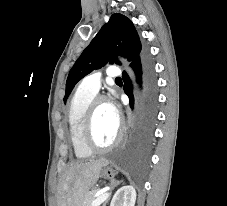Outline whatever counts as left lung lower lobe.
Masks as SVG:
<instances>
[{"label":"left lung lower lobe","instance_id":"left-lung-lower-lobe-1","mask_svg":"<svg viewBox=\"0 0 227 206\" xmlns=\"http://www.w3.org/2000/svg\"><path fill=\"white\" fill-rule=\"evenodd\" d=\"M139 84L138 121L133 138V151L142 155L150 146L154 136L157 112V87L154 68L146 51L132 65ZM124 91L134 106L132 84L126 72H123Z\"/></svg>","mask_w":227,"mask_h":206}]
</instances>
